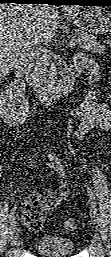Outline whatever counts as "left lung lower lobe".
Listing matches in <instances>:
<instances>
[{
    "instance_id": "0a47b994",
    "label": "left lung lower lobe",
    "mask_w": 111,
    "mask_h": 257,
    "mask_svg": "<svg viewBox=\"0 0 111 257\" xmlns=\"http://www.w3.org/2000/svg\"><path fill=\"white\" fill-rule=\"evenodd\" d=\"M72 4L87 5V4H100L111 6V0H68Z\"/></svg>"
}]
</instances>
